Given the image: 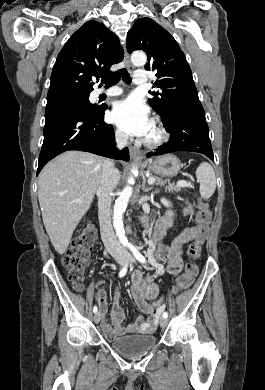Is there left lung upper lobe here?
Instances as JSON below:
<instances>
[{"label": "left lung upper lobe", "mask_w": 265, "mask_h": 390, "mask_svg": "<svg viewBox=\"0 0 265 390\" xmlns=\"http://www.w3.org/2000/svg\"><path fill=\"white\" fill-rule=\"evenodd\" d=\"M143 50L148 55L145 69L155 71L154 83L161 92H150V106L168 121L172 109L199 101L192 72L186 57L173 36L154 20L146 17L135 22L127 34V51Z\"/></svg>", "instance_id": "5c2ea615"}]
</instances>
